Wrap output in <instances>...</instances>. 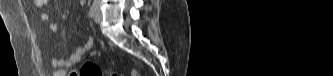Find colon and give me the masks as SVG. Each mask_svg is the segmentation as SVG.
I'll list each match as a JSON object with an SVG mask.
<instances>
[{"instance_id": "5ec220e1", "label": "colon", "mask_w": 333, "mask_h": 76, "mask_svg": "<svg viewBox=\"0 0 333 76\" xmlns=\"http://www.w3.org/2000/svg\"><path fill=\"white\" fill-rule=\"evenodd\" d=\"M79 72L83 73V76H103L102 70L94 63L93 61H85L81 68L79 69ZM112 76H115L116 74L112 73ZM132 76H136V72H132Z\"/></svg>"}]
</instances>
